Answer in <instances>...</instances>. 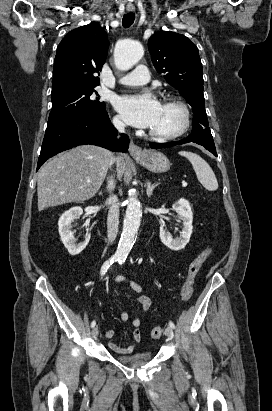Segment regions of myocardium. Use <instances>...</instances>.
Returning <instances> with one entry per match:
<instances>
[{"label":"myocardium","mask_w":272,"mask_h":411,"mask_svg":"<svg viewBox=\"0 0 272 411\" xmlns=\"http://www.w3.org/2000/svg\"><path fill=\"white\" fill-rule=\"evenodd\" d=\"M163 104H169L177 107L182 113V122L180 127L171 133H158L156 131L150 130L149 135L160 141H171L181 137L187 132L191 123V114L188 106L181 100L175 97H167L164 99Z\"/></svg>","instance_id":"f54148a6"}]
</instances>
